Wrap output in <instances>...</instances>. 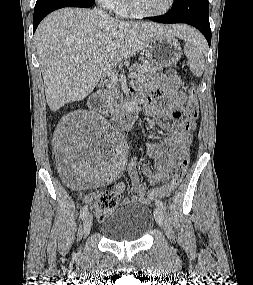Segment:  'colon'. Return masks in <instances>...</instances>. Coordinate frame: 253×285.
I'll return each instance as SVG.
<instances>
[{
	"label": "colon",
	"mask_w": 253,
	"mask_h": 285,
	"mask_svg": "<svg viewBox=\"0 0 253 285\" xmlns=\"http://www.w3.org/2000/svg\"><path fill=\"white\" fill-rule=\"evenodd\" d=\"M186 117L190 121H196L199 117L198 92L196 86L191 84L188 89V103L186 105ZM189 165V156L185 155L180 161L172 180L165 186L150 189V194L156 196L161 193L170 194L183 181ZM119 196L113 191H103L91 198L92 206L100 219L107 216L118 203Z\"/></svg>",
	"instance_id": "obj_1"
}]
</instances>
